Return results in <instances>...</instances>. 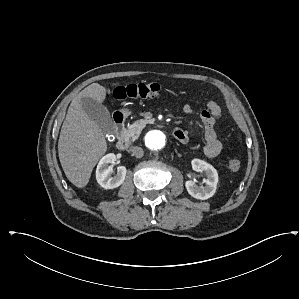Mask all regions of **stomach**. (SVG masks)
<instances>
[{
    "instance_id": "1",
    "label": "stomach",
    "mask_w": 299,
    "mask_h": 299,
    "mask_svg": "<svg viewBox=\"0 0 299 299\" xmlns=\"http://www.w3.org/2000/svg\"><path fill=\"white\" fill-rule=\"evenodd\" d=\"M121 112L125 117H127L131 114V111L129 109H122Z\"/></svg>"
}]
</instances>
